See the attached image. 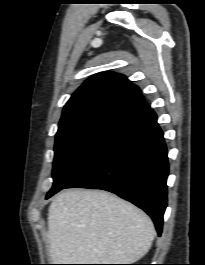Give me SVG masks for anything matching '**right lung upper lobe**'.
<instances>
[{
	"mask_svg": "<svg viewBox=\"0 0 205 265\" xmlns=\"http://www.w3.org/2000/svg\"><path fill=\"white\" fill-rule=\"evenodd\" d=\"M150 110L139 87L122 74L102 72L88 78L64 106L58 132L95 124L127 126Z\"/></svg>",
	"mask_w": 205,
	"mask_h": 265,
	"instance_id": "obj_1",
	"label": "right lung upper lobe"
}]
</instances>
